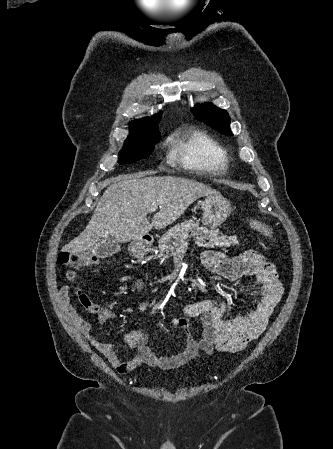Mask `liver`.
<instances>
[{"label": "liver", "mask_w": 333, "mask_h": 449, "mask_svg": "<svg viewBox=\"0 0 333 449\" xmlns=\"http://www.w3.org/2000/svg\"><path fill=\"white\" fill-rule=\"evenodd\" d=\"M119 176L105 190L85 230L62 248L63 252L83 253L107 237L119 243L141 240L152 227L161 229L176 221L197 199L219 195L204 183L181 177ZM160 211L150 224L151 206Z\"/></svg>", "instance_id": "liver-1"}]
</instances>
